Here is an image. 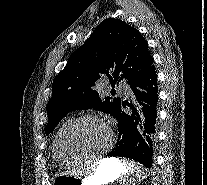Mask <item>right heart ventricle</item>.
<instances>
[{
    "label": "right heart ventricle",
    "mask_w": 207,
    "mask_h": 185,
    "mask_svg": "<svg viewBox=\"0 0 207 185\" xmlns=\"http://www.w3.org/2000/svg\"><path fill=\"white\" fill-rule=\"evenodd\" d=\"M71 121V119H68L61 124L53 141V156L56 162L61 166H72L86 159L72 157L64 147V133Z\"/></svg>",
    "instance_id": "obj_1"
}]
</instances>
